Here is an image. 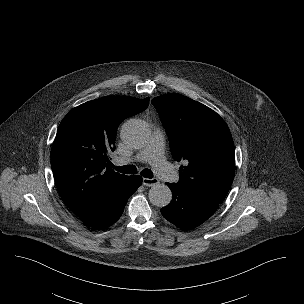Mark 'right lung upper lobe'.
I'll use <instances>...</instances> for the list:
<instances>
[{
	"label": "right lung upper lobe",
	"instance_id": "obj_1",
	"mask_svg": "<svg viewBox=\"0 0 304 304\" xmlns=\"http://www.w3.org/2000/svg\"><path fill=\"white\" fill-rule=\"evenodd\" d=\"M148 105L149 98L106 96L73 108L61 121L51 167L63 201L78 217L90 212L126 176L110 168L117 128Z\"/></svg>",
	"mask_w": 304,
	"mask_h": 304
}]
</instances>
